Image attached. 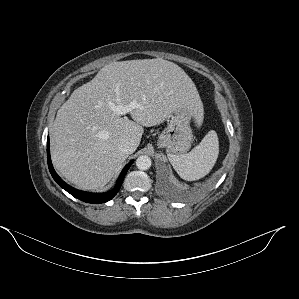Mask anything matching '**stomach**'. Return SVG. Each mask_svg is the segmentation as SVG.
Wrapping results in <instances>:
<instances>
[{"instance_id": "stomach-1", "label": "stomach", "mask_w": 299, "mask_h": 299, "mask_svg": "<svg viewBox=\"0 0 299 299\" xmlns=\"http://www.w3.org/2000/svg\"><path fill=\"white\" fill-rule=\"evenodd\" d=\"M194 117L192 109L188 106L177 109L171 116L167 128L159 135L158 147L166 148L168 155L186 153L193 140L190 124Z\"/></svg>"}]
</instances>
